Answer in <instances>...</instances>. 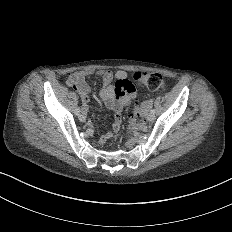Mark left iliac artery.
Here are the masks:
<instances>
[{"mask_svg": "<svg viewBox=\"0 0 232 232\" xmlns=\"http://www.w3.org/2000/svg\"><path fill=\"white\" fill-rule=\"evenodd\" d=\"M155 113H156V110H155V109H152V110L150 111V114H152V115H155Z\"/></svg>", "mask_w": 232, "mask_h": 232, "instance_id": "44dca946", "label": "left iliac artery"}]
</instances>
